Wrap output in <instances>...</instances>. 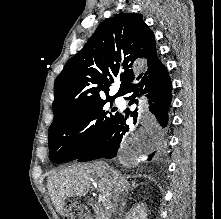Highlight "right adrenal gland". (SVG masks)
Listing matches in <instances>:
<instances>
[{
	"label": "right adrenal gland",
	"mask_w": 221,
	"mask_h": 219,
	"mask_svg": "<svg viewBox=\"0 0 221 219\" xmlns=\"http://www.w3.org/2000/svg\"><path fill=\"white\" fill-rule=\"evenodd\" d=\"M138 186H139V184H136L135 182L132 183L131 188H130L131 194L133 193V191H134ZM131 194H129V193L126 194V198H127L128 200H131V199H132ZM125 206H126V202H125L124 208H125Z\"/></svg>",
	"instance_id": "obj_1"
}]
</instances>
